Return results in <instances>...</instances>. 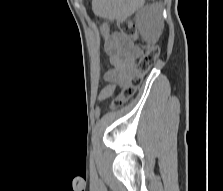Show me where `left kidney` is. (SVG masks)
I'll list each match as a JSON object with an SVG mask.
<instances>
[{
  "instance_id": "obj_1",
  "label": "left kidney",
  "mask_w": 223,
  "mask_h": 191,
  "mask_svg": "<svg viewBox=\"0 0 223 191\" xmlns=\"http://www.w3.org/2000/svg\"><path fill=\"white\" fill-rule=\"evenodd\" d=\"M142 36L148 42H156L163 29V16L160 5H150L142 9L137 17Z\"/></svg>"
}]
</instances>
